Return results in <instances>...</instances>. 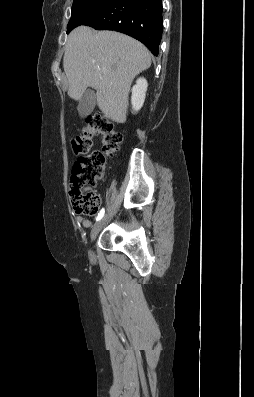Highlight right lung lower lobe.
<instances>
[{
	"label": "right lung lower lobe",
	"instance_id": "1",
	"mask_svg": "<svg viewBox=\"0 0 254 397\" xmlns=\"http://www.w3.org/2000/svg\"><path fill=\"white\" fill-rule=\"evenodd\" d=\"M82 25L127 34L158 56L163 30L162 0H109Z\"/></svg>",
	"mask_w": 254,
	"mask_h": 397
}]
</instances>
